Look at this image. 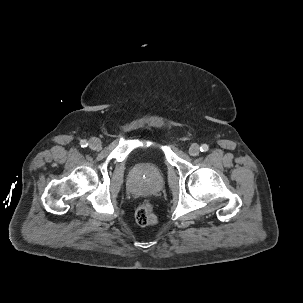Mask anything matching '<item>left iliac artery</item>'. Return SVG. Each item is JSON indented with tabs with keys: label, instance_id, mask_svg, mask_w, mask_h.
I'll list each match as a JSON object with an SVG mask.
<instances>
[{
	"label": "left iliac artery",
	"instance_id": "obj_1",
	"mask_svg": "<svg viewBox=\"0 0 303 303\" xmlns=\"http://www.w3.org/2000/svg\"><path fill=\"white\" fill-rule=\"evenodd\" d=\"M208 149H209V146L207 144H202L200 147V151H202V152H206V151H208Z\"/></svg>",
	"mask_w": 303,
	"mask_h": 303
}]
</instances>
